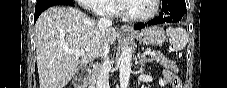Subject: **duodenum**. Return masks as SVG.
Returning a JSON list of instances; mask_svg holds the SVG:
<instances>
[{
	"mask_svg": "<svg viewBox=\"0 0 227 88\" xmlns=\"http://www.w3.org/2000/svg\"><path fill=\"white\" fill-rule=\"evenodd\" d=\"M89 75H90L89 69L82 68L75 77L74 82L79 86V88H86Z\"/></svg>",
	"mask_w": 227,
	"mask_h": 88,
	"instance_id": "duodenum-1",
	"label": "duodenum"
}]
</instances>
